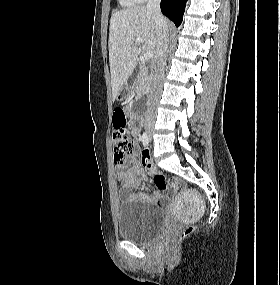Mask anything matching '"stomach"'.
I'll return each mask as SVG.
<instances>
[{
  "instance_id": "obj_1",
  "label": "stomach",
  "mask_w": 280,
  "mask_h": 285,
  "mask_svg": "<svg viewBox=\"0 0 280 285\" xmlns=\"http://www.w3.org/2000/svg\"><path fill=\"white\" fill-rule=\"evenodd\" d=\"M132 89H133V85H129L128 83H125L122 86L120 92L118 93L117 98L122 99V98L126 97L132 91Z\"/></svg>"
}]
</instances>
